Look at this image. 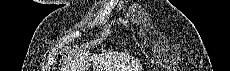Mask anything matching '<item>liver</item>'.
<instances>
[{
    "label": "liver",
    "instance_id": "6515ba94",
    "mask_svg": "<svg viewBox=\"0 0 230 71\" xmlns=\"http://www.w3.org/2000/svg\"><path fill=\"white\" fill-rule=\"evenodd\" d=\"M93 62L94 71H124L119 69H129L126 71H140L142 67L137 62H129L127 58L103 52L101 55L91 56L88 51L75 55L70 60V71H88ZM132 69V70H130Z\"/></svg>",
    "mask_w": 230,
    "mask_h": 71
}]
</instances>
